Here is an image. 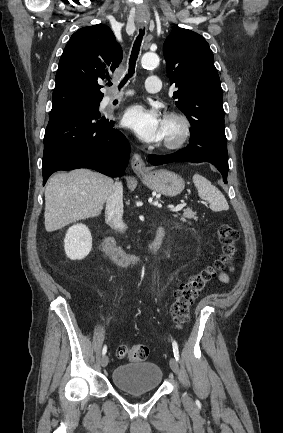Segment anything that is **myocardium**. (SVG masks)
Segmentation results:
<instances>
[{
	"label": "myocardium",
	"mask_w": 283,
	"mask_h": 433,
	"mask_svg": "<svg viewBox=\"0 0 283 433\" xmlns=\"http://www.w3.org/2000/svg\"><path fill=\"white\" fill-rule=\"evenodd\" d=\"M164 119H174L181 124V132L179 136L175 139H165L162 148V153L174 154L181 151L191 139L193 134V122L186 113L178 110L166 112Z\"/></svg>",
	"instance_id": "1"
}]
</instances>
